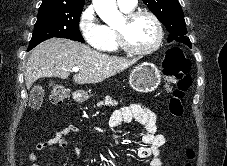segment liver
Returning <instances> with one entry per match:
<instances>
[{"mask_svg": "<svg viewBox=\"0 0 227 166\" xmlns=\"http://www.w3.org/2000/svg\"><path fill=\"white\" fill-rule=\"evenodd\" d=\"M137 62L110 56L88 45L65 38H51L40 43L28 58L24 71L27 89L42 77L67 79L73 67L80 70L73 75L77 84H95L122 72Z\"/></svg>", "mask_w": 227, "mask_h": 166, "instance_id": "1", "label": "liver"}]
</instances>
